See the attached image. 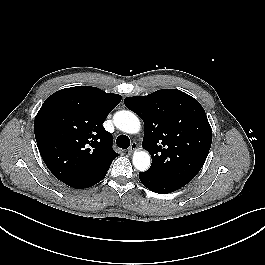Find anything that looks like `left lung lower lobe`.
<instances>
[{
	"label": "left lung lower lobe",
	"mask_w": 265,
	"mask_h": 265,
	"mask_svg": "<svg viewBox=\"0 0 265 265\" xmlns=\"http://www.w3.org/2000/svg\"><path fill=\"white\" fill-rule=\"evenodd\" d=\"M139 179L145 187L156 193L167 194L181 188L146 172H140Z\"/></svg>",
	"instance_id": "obj_1"
}]
</instances>
